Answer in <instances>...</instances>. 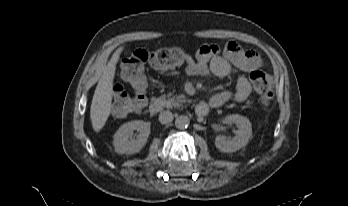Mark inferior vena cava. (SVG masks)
<instances>
[{
  "instance_id": "602c4592",
  "label": "inferior vena cava",
  "mask_w": 348,
  "mask_h": 206,
  "mask_svg": "<svg viewBox=\"0 0 348 206\" xmlns=\"http://www.w3.org/2000/svg\"><path fill=\"white\" fill-rule=\"evenodd\" d=\"M173 118L174 116L170 111H162L158 117L161 124H168L173 121Z\"/></svg>"
}]
</instances>
